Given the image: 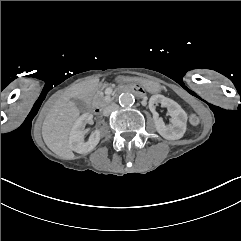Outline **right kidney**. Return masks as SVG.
Returning <instances> with one entry per match:
<instances>
[{"label":"right kidney","instance_id":"1","mask_svg":"<svg viewBox=\"0 0 241 241\" xmlns=\"http://www.w3.org/2000/svg\"><path fill=\"white\" fill-rule=\"evenodd\" d=\"M93 124V114L85 113L78 118L72 127L69 138L71 150L79 154L91 152L100 141V130L95 129L87 141H83L85 127L87 124Z\"/></svg>","mask_w":241,"mask_h":241}]
</instances>
